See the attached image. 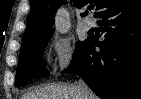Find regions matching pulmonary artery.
Listing matches in <instances>:
<instances>
[{"mask_svg":"<svg viewBox=\"0 0 141 99\" xmlns=\"http://www.w3.org/2000/svg\"><path fill=\"white\" fill-rule=\"evenodd\" d=\"M94 25H95V23H94V21L91 18H89V17L85 18V20L83 22V28L85 30L91 29L92 27H94Z\"/></svg>","mask_w":141,"mask_h":99,"instance_id":"obj_1","label":"pulmonary artery"}]
</instances>
